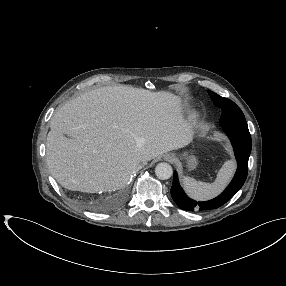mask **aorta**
<instances>
[{
  "instance_id": "1",
  "label": "aorta",
  "mask_w": 286,
  "mask_h": 286,
  "mask_svg": "<svg viewBox=\"0 0 286 286\" xmlns=\"http://www.w3.org/2000/svg\"><path fill=\"white\" fill-rule=\"evenodd\" d=\"M155 174L161 180L169 179L173 174L172 166L169 163L161 162L155 167Z\"/></svg>"
}]
</instances>
